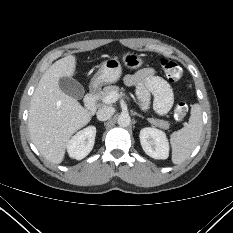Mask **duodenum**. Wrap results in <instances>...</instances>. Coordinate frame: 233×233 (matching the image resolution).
Listing matches in <instances>:
<instances>
[{
	"label": "duodenum",
	"mask_w": 233,
	"mask_h": 233,
	"mask_svg": "<svg viewBox=\"0 0 233 233\" xmlns=\"http://www.w3.org/2000/svg\"><path fill=\"white\" fill-rule=\"evenodd\" d=\"M98 97V85L95 84L90 89L89 93L84 98V105L87 109L92 110L96 106V101Z\"/></svg>",
	"instance_id": "duodenum-1"
}]
</instances>
